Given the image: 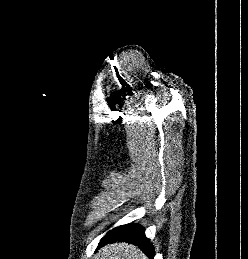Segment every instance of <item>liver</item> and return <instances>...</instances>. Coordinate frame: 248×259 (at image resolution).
I'll list each match as a JSON object with an SVG mask.
<instances>
[{"label":"liver","instance_id":"liver-1","mask_svg":"<svg viewBox=\"0 0 248 259\" xmlns=\"http://www.w3.org/2000/svg\"><path fill=\"white\" fill-rule=\"evenodd\" d=\"M98 259H147L140 249L132 244H108L98 252Z\"/></svg>","mask_w":248,"mask_h":259}]
</instances>
